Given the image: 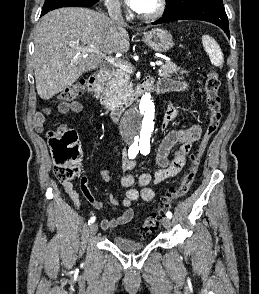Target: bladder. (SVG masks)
I'll list each match as a JSON object with an SVG mask.
<instances>
[{
  "instance_id": "31cf9c89",
  "label": "bladder",
  "mask_w": 259,
  "mask_h": 294,
  "mask_svg": "<svg viewBox=\"0 0 259 294\" xmlns=\"http://www.w3.org/2000/svg\"><path fill=\"white\" fill-rule=\"evenodd\" d=\"M113 244L122 251L135 252L145 248L146 242L136 241L123 235H116Z\"/></svg>"
}]
</instances>
